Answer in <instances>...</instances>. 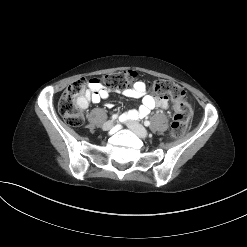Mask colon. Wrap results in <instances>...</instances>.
<instances>
[{
  "instance_id": "1",
  "label": "colon",
  "mask_w": 247,
  "mask_h": 247,
  "mask_svg": "<svg viewBox=\"0 0 247 247\" xmlns=\"http://www.w3.org/2000/svg\"><path fill=\"white\" fill-rule=\"evenodd\" d=\"M135 79V73L131 70L120 71L96 79L104 87L111 89H123ZM88 82L85 79H79L70 84L62 94L58 110L64 120L70 126H80L84 121L83 109L87 103ZM150 89L156 95H169L175 101L174 116L171 124V134L174 137L182 136L189 124L191 110L184 100L185 90L177 83L159 79L151 83Z\"/></svg>"
}]
</instances>
